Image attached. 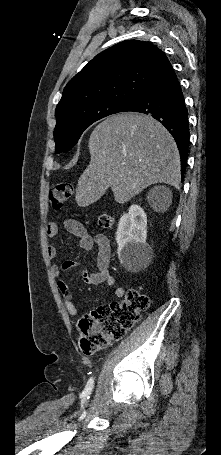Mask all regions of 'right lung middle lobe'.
Wrapping results in <instances>:
<instances>
[{
    "mask_svg": "<svg viewBox=\"0 0 221 455\" xmlns=\"http://www.w3.org/2000/svg\"><path fill=\"white\" fill-rule=\"evenodd\" d=\"M128 105L119 101H103L58 118L54 129L55 152L69 151L91 124L108 115L123 112Z\"/></svg>",
    "mask_w": 221,
    "mask_h": 455,
    "instance_id": "dd1d6c3e",
    "label": "right lung middle lobe"
}]
</instances>
